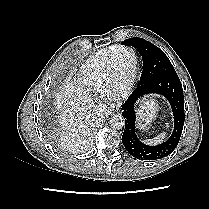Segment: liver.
Returning a JSON list of instances; mask_svg holds the SVG:
<instances>
[{
	"instance_id": "6515ba94",
	"label": "liver",
	"mask_w": 209,
	"mask_h": 209,
	"mask_svg": "<svg viewBox=\"0 0 209 209\" xmlns=\"http://www.w3.org/2000/svg\"><path fill=\"white\" fill-rule=\"evenodd\" d=\"M56 106L61 123V146L71 151L81 149L89 143L91 126L96 117L92 99L81 87L66 82L56 94Z\"/></svg>"
}]
</instances>
